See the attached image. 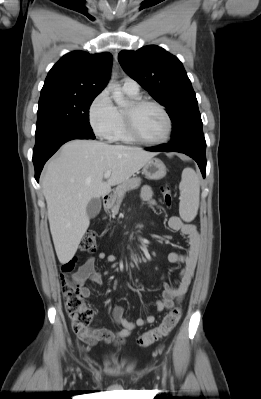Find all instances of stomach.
<instances>
[{"mask_svg": "<svg viewBox=\"0 0 261 399\" xmlns=\"http://www.w3.org/2000/svg\"><path fill=\"white\" fill-rule=\"evenodd\" d=\"M142 173L148 179L159 180L165 177L167 169L165 164L160 159L152 158L143 166ZM110 201L113 203L114 198H111Z\"/></svg>", "mask_w": 261, "mask_h": 399, "instance_id": "obj_1", "label": "stomach"}]
</instances>
